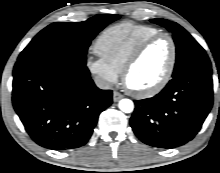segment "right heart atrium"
Returning a JSON list of instances; mask_svg holds the SVG:
<instances>
[{
  "instance_id": "d8ad5b80",
  "label": "right heart atrium",
  "mask_w": 220,
  "mask_h": 173,
  "mask_svg": "<svg viewBox=\"0 0 220 173\" xmlns=\"http://www.w3.org/2000/svg\"><path fill=\"white\" fill-rule=\"evenodd\" d=\"M86 65L89 71L94 74L104 86H111L117 82L119 72L101 57L95 58L89 56Z\"/></svg>"
}]
</instances>
